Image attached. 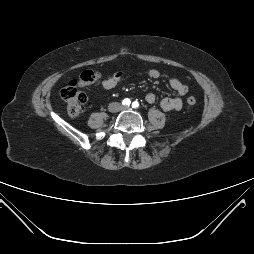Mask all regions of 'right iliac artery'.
Masks as SVG:
<instances>
[{"label": "right iliac artery", "mask_w": 254, "mask_h": 254, "mask_svg": "<svg viewBox=\"0 0 254 254\" xmlns=\"http://www.w3.org/2000/svg\"><path fill=\"white\" fill-rule=\"evenodd\" d=\"M130 103H131V101H130L128 98H126V99H124V100L122 101V104L125 105V106L130 105Z\"/></svg>", "instance_id": "obj_1"}]
</instances>
